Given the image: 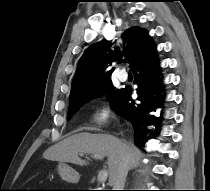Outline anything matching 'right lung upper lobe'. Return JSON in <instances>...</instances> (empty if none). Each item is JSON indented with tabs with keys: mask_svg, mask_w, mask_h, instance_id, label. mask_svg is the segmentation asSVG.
<instances>
[{
	"mask_svg": "<svg viewBox=\"0 0 210 191\" xmlns=\"http://www.w3.org/2000/svg\"><path fill=\"white\" fill-rule=\"evenodd\" d=\"M151 42L152 39L145 29L131 27L117 38L112 48L109 41H100L91 45L79 60L71 85L70 100L111 80L114 70L111 66L123 56L128 58L132 66L138 55Z\"/></svg>",
	"mask_w": 210,
	"mask_h": 191,
	"instance_id": "1",
	"label": "right lung upper lobe"
}]
</instances>
